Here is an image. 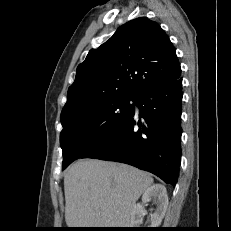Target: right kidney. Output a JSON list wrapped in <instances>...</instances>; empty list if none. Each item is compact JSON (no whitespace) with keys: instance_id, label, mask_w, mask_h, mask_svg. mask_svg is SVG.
Returning <instances> with one entry per match:
<instances>
[{"instance_id":"ca27d5eb","label":"right kidney","mask_w":231,"mask_h":231,"mask_svg":"<svg viewBox=\"0 0 231 231\" xmlns=\"http://www.w3.org/2000/svg\"><path fill=\"white\" fill-rule=\"evenodd\" d=\"M152 200L156 205L154 213L151 214V227L157 228L164 218L168 207V195L165 186L154 184L150 186L142 196V203L134 206L131 213L130 227L139 228L142 224L143 217L146 214L144 204Z\"/></svg>"}]
</instances>
